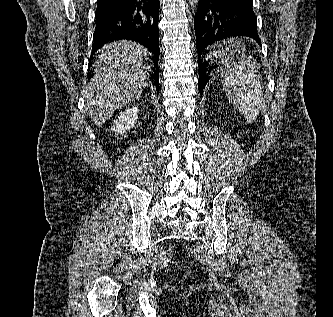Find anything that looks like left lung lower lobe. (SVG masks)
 <instances>
[{"instance_id":"left-lung-lower-lobe-1","label":"left lung lower lobe","mask_w":333,"mask_h":317,"mask_svg":"<svg viewBox=\"0 0 333 317\" xmlns=\"http://www.w3.org/2000/svg\"><path fill=\"white\" fill-rule=\"evenodd\" d=\"M199 66V91L213 77L225 56L221 44L209 54L207 46L229 37L248 36L261 43L257 32V18L253 0H199L194 17ZM221 66V65H220Z\"/></svg>"}]
</instances>
